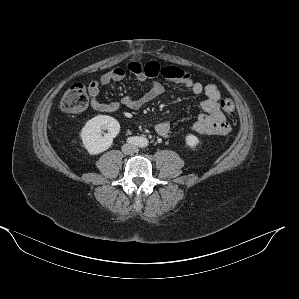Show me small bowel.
I'll list each match as a JSON object with an SVG mask.
<instances>
[{
    "instance_id": "small-bowel-1",
    "label": "small bowel",
    "mask_w": 299,
    "mask_h": 299,
    "mask_svg": "<svg viewBox=\"0 0 299 299\" xmlns=\"http://www.w3.org/2000/svg\"><path fill=\"white\" fill-rule=\"evenodd\" d=\"M130 73L139 81L162 77L172 83L182 85L190 89L195 94H204L205 100L201 103L203 112L198 116L192 126V131L199 135H223L230 131V125L221 111V93L214 84H202L185 70L175 66H161L157 62L141 64L131 61L126 67H116L104 74L97 80L91 82L89 91L91 95L90 106L103 113L116 112L121 107L128 109H138L143 105L158 98L164 93V85L159 81H154L151 86L139 97L124 96L120 100L113 102H102L99 99L100 88L112 82L123 80ZM154 130L162 138L171 135V125L167 121L158 122L154 125Z\"/></svg>"
}]
</instances>
